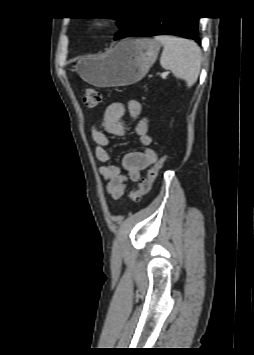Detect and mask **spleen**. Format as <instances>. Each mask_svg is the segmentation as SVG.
I'll use <instances>...</instances> for the list:
<instances>
[{
  "instance_id": "spleen-1",
  "label": "spleen",
  "mask_w": 254,
  "mask_h": 355,
  "mask_svg": "<svg viewBox=\"0 0 254 355\" xmlns=\"http://www.w3.org/2000/svg\"><path fill=\"white\" fill-rule=\"evenodd\" d=\"M164 46L160 64L176 78L183 79L188 87L194 85L201 68V50L190 40L174 36H156Z\"/></svg>"
}]
</instances>
